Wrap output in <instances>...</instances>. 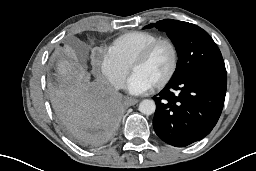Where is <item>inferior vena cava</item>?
Segmentation results:
<instances>
[{
	"instance_id": "602c4592",
	"label": "inferior vena cava",
	"mask_w": 256,
	"mask_h": 171,
	"mask_svg": "<svg viewBox=\"0 0 256 171\" xmlns=\"http://www.w3.org/2000/svg\"><path fill=\"white\" fill-rule=\"evenodd\" d=\"M112 84L115 87V89H121L124 86L123 81H120V80H115L112 82Z\"/></svg>"
}]
</instances>
